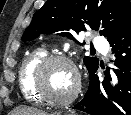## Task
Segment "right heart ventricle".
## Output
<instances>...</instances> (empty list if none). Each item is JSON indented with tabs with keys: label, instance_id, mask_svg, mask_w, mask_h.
Wrapping results in <instances>:
<instances>
[{
	"label": "right heart ventricle",
	"instance_id": "right-heart-ventricle-1",
	"mask_svg": "<svg viewBox=\"0 0 131 115\" xmlns=\"http://www.w3.org/2000/svg\"><path fill=\"white\" fill-rule=\"evenodd\" d=\"M47 56L42 48H37L29 53L22 61L18 69V86L23 98L32 104L43 103L33 88V76L36 66Z\"/></svg>",
	"mask_w": 131,
	"mask_h": 115
}]
</instances>
